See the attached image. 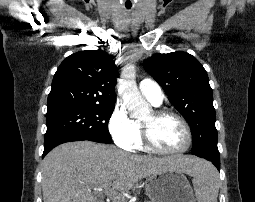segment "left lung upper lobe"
Masks as SVG:
<instances>
[{"label": "left lung upper lobe", "instance_id": "5c2ea615", "mask_svg": "<svg viewBox=\"0 0 255 202\" xmlns=\"http://www.w3.org/2000/svg\"><path fill=\"white\" fill-rule=\"evenodd\" d=\"M143 65L190 124L192 154L205 159H219L213 94L206 70L200 62L187 52L177 51L155 54Z\"/></svg>", "mask_w": 255, "mask_h": 202}]
</instances>
